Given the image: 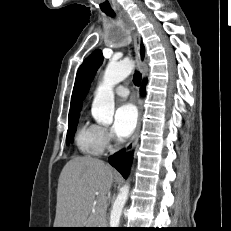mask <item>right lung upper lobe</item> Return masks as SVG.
I'll use <instances>...</instances> for the list:
<instances>
[{
  "label": "right lung upper lobe",
  "mask_w": 231,
  "mask_h": 231,
  "mask_svg": "<svg viewBox=\"0 0 231 231\" xmlns=\"http://www.w3.org/2000/svg\"><path fill=\"white\" fill-rule=\"evenodd\" d=\"M141 55L142 58L144 56V47L142 45L141 49ZM85 63L82 64L80 69L77 72L73 93L71 97V105H70V111H69V118L79 115L81 103L79 101L80 99V92H81V83H82V77H83V69H84Z\"/></svg>",
  "instance_id": "1"
}]
</instances>
